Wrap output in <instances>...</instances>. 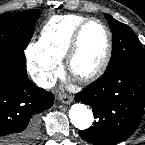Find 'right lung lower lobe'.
<instances>
[{"label":"right lung lower lobe","instance_id":"1","mask_svg":"<svg viewBox=\"0 0 145 145\" xmlns=\"http://www.w3.org/2000/svg\"><path fill=\"white\" fill-rule=\"evenodd\" d=\"M53 102L52 93L27 78L23 50L0 51V145H31L37 115Z\"/></svg>","mask_w":145,"mask_h":145}]
</instances>
